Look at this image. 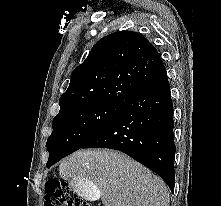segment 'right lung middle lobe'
Masks as SVG:
<instances>
[{"label":"right lung middle lobe","instance_id":"obj_1","mask_svg":"<svg viewBox=\"0 0 221 206\" xmlns=\"http://www.w3.org/2000/svg\"><path fill=\"white\" fill-rule=\"evenodd\" d=\"M122 108L109 103H94L60 112L53 119V132L47 140V168L82 148L115 119Z\"/></svg>","mask_w":221,"mask_h":206}]
</instances>
